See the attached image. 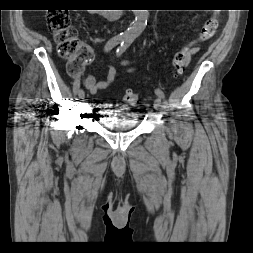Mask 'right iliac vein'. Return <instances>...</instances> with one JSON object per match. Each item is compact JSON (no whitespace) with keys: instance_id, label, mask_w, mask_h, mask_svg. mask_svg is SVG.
<instances>
[{"instance_id":"right-iliac-vein-1","label":"right iliac vein","mask_w":253,"mask_h":253,"mask_svg":"<svg viewBox=\"0 0 253 253\" xmlns=\"http://www.w3.org/2000/svg\"><path fill=\"white\" fill-rule=\"evenodd\" d=\"M84 96H85L84 91L82 89H80L79 92H78V97H79L78 98V103H81V99H83Z\"/></svg>"}]
</instances>
